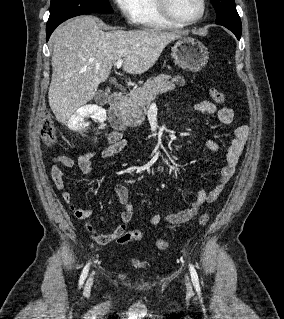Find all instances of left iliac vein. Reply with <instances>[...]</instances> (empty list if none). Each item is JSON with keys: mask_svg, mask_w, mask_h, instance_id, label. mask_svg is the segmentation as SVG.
Wrapping results in <instances>:
<instances>
[{"mask_svg": "<svg viewBox=\"0 0 284 319\" xmlns=\"http://www.w3.org/2000/svg\"><path fill=\"white\" fill-rule=\"evenodd\" d=\"M186 285H187V288H191V284H190V282H189V278H188V276H186Z\"/></svg>", "mask_w": 284, "mask_h": 319, "instance_id": "1", "label": "left iliac vein"}]
</instances>
